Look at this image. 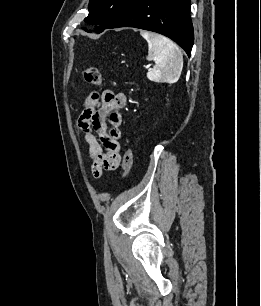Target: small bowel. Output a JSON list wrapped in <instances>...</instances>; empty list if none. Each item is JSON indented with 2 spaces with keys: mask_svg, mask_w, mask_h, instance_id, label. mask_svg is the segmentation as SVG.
Masks as SVG:
<instances>
[{
  "mask_svg": "<svg viewBox=\"0 0 261 306\" xmlns=\"http://www.w3.org/2000/svg\"><path fill=\"white\" fill-rule=\"evenodd\" d=\"M127 104L124 93L110 90L86 98L78 125L89 147L91 170L95 178L104 171L116 169L121 162L119 129L122 123L120 110Z\"/></svg>",
  "mask_w": 261,
  "mask_h": 306,
  "instance_id": "c3829d8e",
  "label": "small bowel"
}]
</instances>
